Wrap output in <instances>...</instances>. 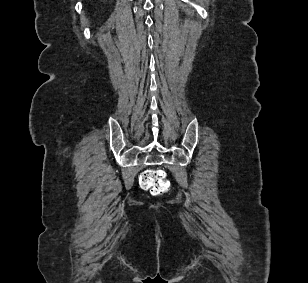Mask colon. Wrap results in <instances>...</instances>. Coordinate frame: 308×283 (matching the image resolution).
Instances as JSON below:
<instances>
[{"label":"colon","mask_w":308,"mask_h":283,"mask_svg":"<svg viewBox=\"0 0 308 283\" xmlns=\"http://www.w3.org/2000/svg\"><path fill=\"white\" fill-rule=\"evenodd\" d=\"M141 188L150 190L154 195H162L170 188L165 172L161 169H147L139 178Z\"/></svg>","instance_id":"5ec220e1"}]
</instances>
